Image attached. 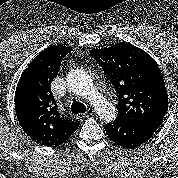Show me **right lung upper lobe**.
Returning <instances> with one entry per match:
<instances>
[{
	"label": "right lung upper lobe",
	"mask_w": 178,
	"mask_h": 178,
	"mask_svg": "<svg viewBox=\"0 0 178 178\" xmlns=\"http://www.w3.org/2000/svg\"><path fill=\"white\" fill-rule=\"evenodd\" d=\"M71 47L50 46L28 65L15 94V111L23 131L40 145L56 147L76 131L78 122L62 115L51 93V82Z\"/></svg>",
	"instance_id": "right-lung-upper-lobe-1"
}]
</instances>
